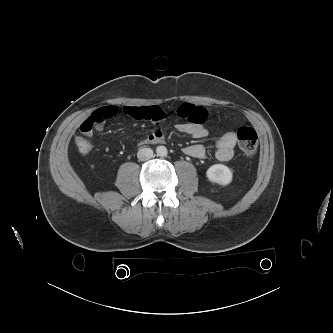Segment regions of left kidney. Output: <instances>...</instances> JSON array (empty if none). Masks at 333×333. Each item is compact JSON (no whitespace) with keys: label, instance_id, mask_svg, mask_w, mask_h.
<instances>
[{"label":"left kidney","instance_id":"1","mask_svg":"<svg viewBox=\"0 0 333 333\" xmlns=\"http://www.w3.org/2000/svg\"><path fill=\"white\" fill-rule=\"evenodd\" d=\"M206 176L211 182L220 185H228L232 181L233 175L227 166L223 164H214L207 170Z\"/></svg>","mask_w":333,"mask_h":333}]
</instances>
